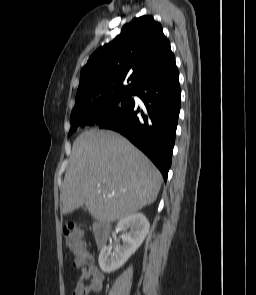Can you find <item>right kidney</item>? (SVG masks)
<instances>
[{
  "label": "right kidney",
  "mask_w": 256,
  "mask_h": 295,
  "mask_svg": "<svg viewBox=\"0 0 256 295\" xmlns=\"http://www.w3.org/2000/svg\"><path fill=\"white\" fill-rule=\"evenodd\" d=\"M117 228L130 232L122 236V245L111 252V248L104 247L99 254V266L104 273H111L123 266L143 243L150 228V224L142 213H135L121 219Z\"/></svg>",
  "instance_id": "1"
}]
</instances>
